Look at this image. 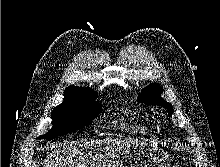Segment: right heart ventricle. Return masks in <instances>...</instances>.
Returning a JSON list of instances; mask_svg holds the SVG:
<instances>
[{
	"label": "right heart ventricle",
	"instance_id": "obj_1",
	"mask_svg": "<svg viewBox=\"0 0 220 167\" xmlns=\"http://www.w3.org/2000/svg\"><path fill=\"white\" fill-rule=\"evenodd\" d=\"M121 128L135 135H147L149 133L148 128L142 124L130 123L126 125H121Z\"/></svg>",
	"mask_w": 220,
	"mask_h": 167
}]
</instances>
